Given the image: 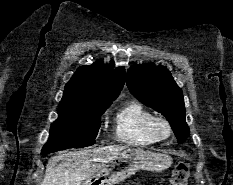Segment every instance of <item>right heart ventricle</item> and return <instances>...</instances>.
Listing matches in <instances>:
<instances>
[{
  "instance_id": "obj_1",
  "label": "right heart ventricle",
  "mask_w": 233,
  "mask_h": 185,
  "mask_svg": "<svg viewBox=\"0 0 233 185\" xmlns=\"http://www.w3.org/2000/svg\"><path fill=\"white\" fill-rule=\"evenodd\" d=\"M155 115L138 101L125 104L115 116L117 138L133 146H149L159 139L155 136L152 124Z\"/></svg>"
}]
</instances>
